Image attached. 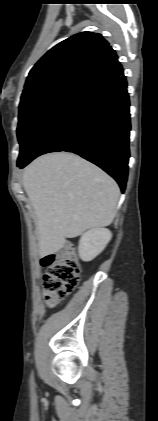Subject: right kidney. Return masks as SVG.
I'll use <instances>...</instances> for the list:
<instances>
[{
  "instance_id": "ca27d5eb",
  "label": "right kidney",
  "mask_w": 158,
  "mask_h": 421,
  "mask_svg": "<svg viewBox=\"0 0 158 421\" xmlns=\"http://www.w3.org/2000/svg\"><path fill=\"white\" fill-rule=\"evenodd\" d=\"M112 238L106 228H95L85 232L79 241L78 252L83 261H91L98 256Z\"/></svg>"
}]
</instances>
